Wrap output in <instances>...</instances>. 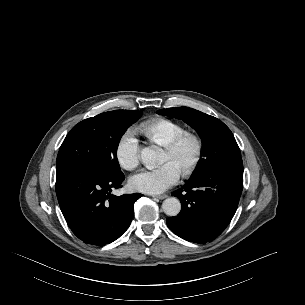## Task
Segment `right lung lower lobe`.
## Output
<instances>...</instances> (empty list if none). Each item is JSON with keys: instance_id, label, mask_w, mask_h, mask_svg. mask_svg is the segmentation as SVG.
<instances>
[{"instance_id": "right-lung-lower-lobe-1", "label": "right lung lower lobe", "mask_w": 305, "mask_h": 305, "mask_svg": "<svg viewBox=\"0 0 305 305\" xmlns=\"http://www.w3.org/2000/svg\"><path fill=\"white\" fill-rule=\"evenodd\" d=\"M123 173L96 175L81 170H63L56 175V194L63 216L84 243L104 246L119 238L129 227L134 203L140 193L115 196Z\"/></svg>"}]
</instances>
